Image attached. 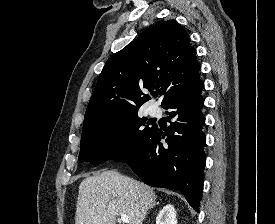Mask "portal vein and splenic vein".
<instances>
[{"instance_id": "portal-vein-and-splenic-vein-1", "label": "portal vein and splenic vein", "mask_w": 275, "mask_h": 224, "mask_svg": "<svg viewBox=\"0 0 275 224\" xmlns=\"http://www.w3.org/2000/svg\"><path fill=\"white\" fill-rule=\"evenodd\" d=\"M121 221L122 223H129V218L127 215H121Z\"/></svg>"}]
</instances>
